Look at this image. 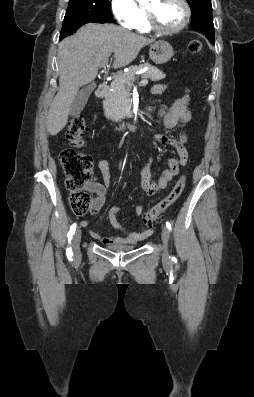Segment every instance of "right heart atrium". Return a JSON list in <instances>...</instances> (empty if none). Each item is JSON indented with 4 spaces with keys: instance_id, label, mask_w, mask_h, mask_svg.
Masks as SVG:
<instances>
[{
    "instance_id": "obj_1",
    "label": "right heart atrium",
    "mask_w": 254,
    "mask_h": 397,
    "mask_svg": "<svg viewBox=\"0 0 254 397\" xmlns=\"http://www.w3.org/2000/svg\"><path fill=\"white\" fill-rule=\"evenodd\" d=\"M111 10L119 24L128 29H134L143 16L135 0H111Z\"/></svg>"
}]
</instances>
